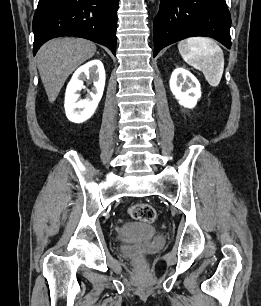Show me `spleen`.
<instances>
[{"label": "spleen", "instance_id": "1", "mask_svg": "<svg viewBox=\"0 0 261 306\" xmlns=\"http://www.w3.org/2000/svg\"><path fill=\"white\" fill-rule=\"evenodd\" d=\"M178 50L186 63L202 71L212 87L219 85L224 71V54L216 42L207 37H191L179 42Z\"/></svg>", "mask_w": 261, "mask_h": 306}]
</instances>
